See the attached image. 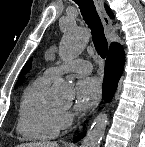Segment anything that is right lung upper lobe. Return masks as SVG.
<instances>
[{"label": "right lung upper lobe", "mask_w": 145, "mask_h": 147, "mask_svg": "<svg viewBox=\"0 0 145 147\" xmlns=\"http://www.w3.org/2000/svg\"><path fill=\"white\" fill-rule=\"evenodd\" d=\"M105 8H106V11L109 14L110 18H113V14H112V12L110 11V9L108 8L107 5H105Z\"/></svg>", "instance_id": "obj_1"}]
</instances>
